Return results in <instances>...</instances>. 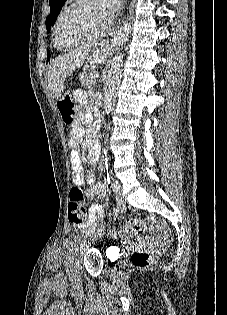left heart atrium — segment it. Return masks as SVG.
Segmentation results:
<instances>
[{"label": "left heart atrium", "instance_id": "39dd6f15", "mask_svg": "<svg viewBox=\"0 0 227 315\" xmlns=\"http://www.w3.org/2000/svg\"><path fill=\"white\" fill-rule=\"evenodd\" d=\"M96 1L106 21L105 26H108L113 21L116 13L120 9L122 0H96Z\"/></svg>", "mask_w": 227, "mask_h": 315}]
</instances>
